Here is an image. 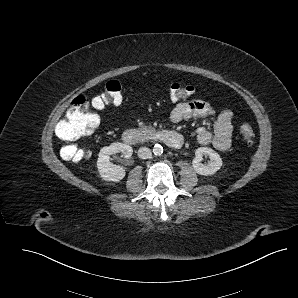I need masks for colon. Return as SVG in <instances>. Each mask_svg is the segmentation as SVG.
<instances>
[{"label": "colon", "instance_id": "colon-1", "mask_svg": "<svg viewBox=\"0 0 298 298\" xmlns=\"http://www.w3.org/2000/svg\"><path fill=\"white\" fill-rule=\"evenodd\" d=\"M193 93L194 87L189 84L174 82L169 87V96L174 102L185 100ZM121 102L122 85L116 80L107 82L103 92L93 99L84 95L75 97L56 127L57 136L64 141H73L92 133L99 123L94 110H101L109 104L119 105ZM238 130L246 142L253 141L254 129L250 123H240Z\"/></svg>", "mask_w": 298, "mask_h": 298}]
</instances>
